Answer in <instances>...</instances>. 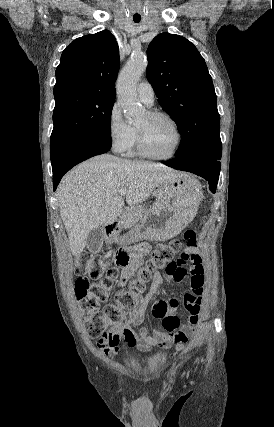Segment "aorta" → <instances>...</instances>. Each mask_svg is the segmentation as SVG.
Wrapping results in <instances>:
<instances>
[{"mask_svg": "<svg viewBox=\"0 0 274 427\" xmlns=\"http://www.w3.org/2000/svg\"><path fill=\"white\" fill-rule=\"evenodd\" d=\"M148 65L144 53L133 54L118 76L117 95L129 123L137 121L144 109L137 102V84Z\"/></svg>", "mask_w": 274, "mask_h": 427, "instance_id": "obj_1", "label": "aorta"}]
</instances>
